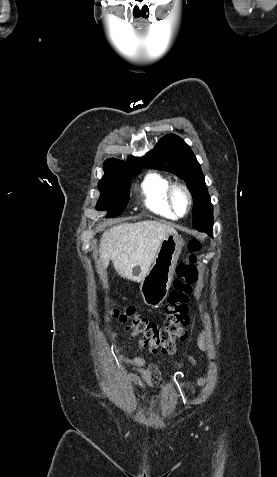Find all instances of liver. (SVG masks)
Returning a JSON list of instances; mask_svg holds the SVG:
<instances>
[{
	"instance_id": "1",
	"label": "liver",
	"mask_w": 277,
	"mask_h": 477,
	"mask_svg": "<svg viewBox=\"0 0 277 477\" xmlns=\"http://www.w3.org/2000/svg\"><path fill=\"white\" fill-rule=\"evenodd\" d=\"M175 233L171 226L152 220L115 226L101 238L103 266L107 267L111 260L121 277L140 282L149 272L162 240ZM137 266L140 273L135 276L133 270Z\"/></svg>"
}]
</instances>
